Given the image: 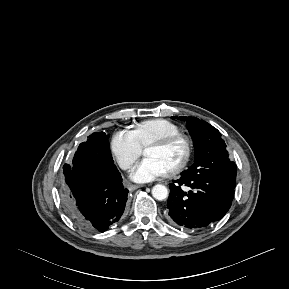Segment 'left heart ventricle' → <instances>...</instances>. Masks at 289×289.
Returning a JSON list of instances; mask_svg holds the SVG:
<instances>
[{
	"mask_svg": "<svg viewBox=\"0 0 289 289\" xmlns=\"http://www.w3.org/2000/svg\"><path fill=\"white\" fill-rule=\"evenodd\" d=\"M184 147L181 143H175L166 148H147L145 156L159 161L168 171L183 157Z\"/></svg>",
	"mask_w": 289,
	"mask_h": 289,
	"instance_id": "b2bd125f",
	"label": "left heart ventricle"
}]
</instances>
